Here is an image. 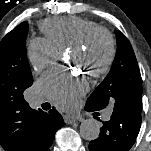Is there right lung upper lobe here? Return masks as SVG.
<instances>
[{"label":"right lung upper lobe","instance_id":"cb5924a9","mask_svg":"<svg viewBox=\"0 0 151 151\" xmlns=\"http://www.w3.org/2000/svg\"><path fill=\"white\" fill-rule=\"evenodd\" d=\"M41 110L24 98L0 97V143L6 151H38L43 135Z\"/></svg>","mask_w":151,"mask_h":151}]
</instances>
